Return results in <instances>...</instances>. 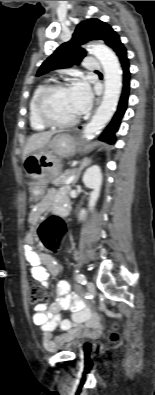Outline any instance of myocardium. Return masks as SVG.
<instances>
[{"mask_svg": "<svg viewBox=\"0 0 155 395\" xmlns=\"http://www.w3.org/2000/svg\"><path fill=\"white\" fill-rule=\"evenodd\" d=\"M68 88L69 84L59 82L45 86L38 94L35 101V113L37 118L46 126L68 128L74 126L78 122V117L66 122L55 120L47 113L46 110V103L49 97L57 91L65 90Z\"/></svg>", "mask_w": 155, "mask_h": 395, "instance_id": "1", "label": "myocardium"}]
</instances>
